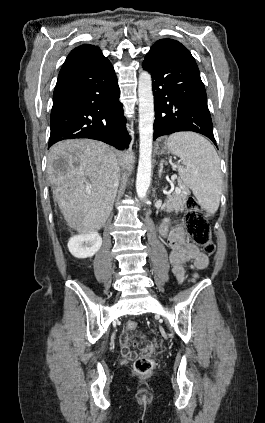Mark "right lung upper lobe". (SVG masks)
Here are the masks:
<instances>
[{"label":"right lung upper lobe","instance_id":"cb5924a9","mask_svg":"<svg viewBox=\"0 0 265 423\" xmlns=\"http://www.w3.org/2000/svg\"><path fill=\"white\" fill-rule=\"evenodd\" d=\"M95 56L100 58H105L98 47L85 44L73 49L68 55L66 61L70 59H74V58L95 57Z\"/></svg>","mask_w":265,"mask_h":423}]
</instances>
